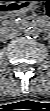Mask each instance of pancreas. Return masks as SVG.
Instances as JSON below:
<instances>
[{
	"label": "pancreas",
	"mask_w": 50,
	"mask_h": 111,
	"mask_svg": "<svg viewBox=\"0 0 50 111\" xmlns=\"http://www.w3.org/2000/svg\"><path fill=\"white\" fill-rule=\"evenodd\" d=\"M2 26L4 28H8L9 26H16V22L13 19H11V20H4L2 22Z\"/></svg>",
	"instance_id": "cf45deb5"
}]
</instances>
